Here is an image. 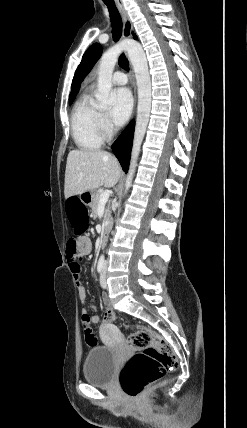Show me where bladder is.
<instances>
[{"label":"bladder","instance_id":"bladder-1","mask_svg":"<svg viewBox=\"0 0 247 428\" xmlns=\"http://www.w3.org/2000/svg\"><path fill=\"white\" fill-rule=\"evenodd\" d=\"M118 367V356L107 346L93 347L87 354L83 375L85 380L95 386H109Z\"/></svg>","mask_w":247,"mask_h":428}]
</instances>
